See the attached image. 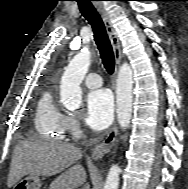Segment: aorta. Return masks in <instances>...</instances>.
Here are the masks:
<instances>
[{
	"mask_svg": "<svg viewBox=\"0 0 188 189\" xmlns=\"http://www.w3.org/2000/svg\"><path fill=\"white\" fill-rule=\"evenodd\" d=\"M90 56L88 50L78 53L69 63L61 78L60 98L63 105L69 110L79 108L82 103L80 84L88 71ZM132 87V69L128 63H123L118 73L116 86L117 118L123 129L129 126L132 116ZM119 173V166L113 164L109 169L104 189H118Z\"/></svg>",
	"mask_w": 188,
	"mask_h": 189,
	"instance_id": "762f6f07",
	"label": "aorta"
}]
</instances>
